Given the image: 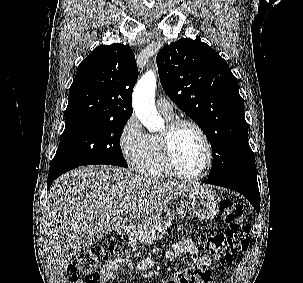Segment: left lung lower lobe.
<instances>
[{
  "label": "left lung lower lobe",
  "instance_id": "obj_1",
  "mask_svg": "<svg viewBox=\"0 0 303 283\" xmlns=\"http://www.w3.org/2000/svg\"><path fill=\"white\" fill-rule=\"evenodd\" d=\"M203 182L230 188L239 192L250 201V203L256 209L257 213H259L260 195L257 183L256 170L245 171L224 178H208V180H205Z\"/></svg>",
  "mask_w": 303,
  "mask_h": 283
}]
</instances>
